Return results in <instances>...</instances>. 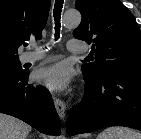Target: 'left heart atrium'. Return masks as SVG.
<instances>
[{
	"label": "left heart atrium",
	"instance_id": "39dd6f15",
	"mask_svg": "<svg viewBox=\"0 0 141 139\" xmlns=\"http://www.w3.org/2000/svg\"><path fill=\"white\" fill-rule=\"evenodd\" d=\"M34 78L50 91L60 92L69 86L70 70L65 64H55L39 69Z\"/></svg>",
	"mask_w": 141,
	"mask_h": 139
}]
</instances>
